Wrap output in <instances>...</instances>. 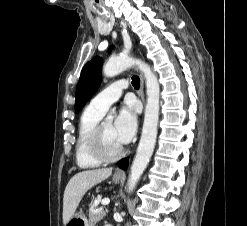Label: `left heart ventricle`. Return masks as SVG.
<instances>
[{"instance_id": "b2bd125f", "label": "left heart ventricle", "mask_w": 247, "mask_h": 226, "mask_svg": "<svg viewBox=\"0 0 247 226\" xmlns=\"http://www.w3.org/2000/svg\"><path fill=\"white\" fill-rule=\"evenodd\" d=\"M102 146L106 154L112 155L116 153L122 145L117 141L113 124L111 122H105L102 130Z\"/></svg>"}]
</instances>
